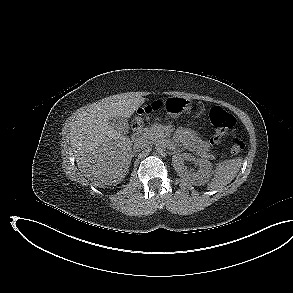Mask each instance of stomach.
<instances>
[{"mask_svg":"<svg viewBox=\"0 0 293 293\" xmlns=\"http://www.w3.org/2000/svg\"><path fill=\"white\" fill-rule=\"evenodd\" d=\"M191 101L186 97L173 96L166 99L164 110L171 118H178L190 108Z\"/></svg>","mask_w":293,"mask_h":293,"instance_id":"1","label":"stomach"}]
</instances>
